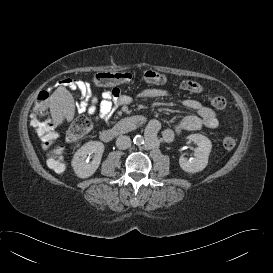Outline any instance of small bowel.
I'll use <instances>...</instances> for the list:
<instances>
[{
	"label": "small bowel",
	"mask_w": 273,
	"mask_h": 273,
	"mask_svg": "<svg viewBox=\"0 0 273 273\" xmlns=\"http://www.w3.org/2000/svg\"><path fill=\"white\" fill-rule=\"evenodd\" d=\"M187 83L188 80L181 84L184 90L192 93L202 92L203 88L199 92L191 91ZM60 84L77 90L81 94L82 101L76 105L77 112H86L95 120L108 121L116 107L129 105L132 101L130 96L122 94L118 88L94 93L88 82L72 78H65L60 81ZM169 95L170 92L163 88H146L141 90L137 96L141 99H160ZM183 105L188 109L194 110L196 114L184 115L173 128L164 129L162 137L165 142L173 141L177 134L184 131H196L201 128L215 129L218 126L216 113L210 107L195 99H186L183 101ZM159 127L160 124L158 122H152L149 134L151 136L155 135Z\"/></svg>",
	"instance_id": "1"
}]
</instances>
